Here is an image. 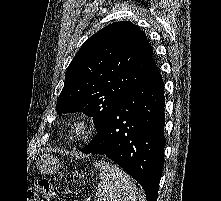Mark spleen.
I'll use <instances>...</instances> for the list:
<instances>
[{
    "instance_id": "1",
    "label": "spleen",
    "mask_w": 221,
    "mask_h": 201,
    "mask_svg": "<svg viewBox=\"0 0 221 201\" xmlns=\"http://www.w3.org/2000/svg\"><path fill=\"white\" fill-rule=\"evenodd\" d=\"M94 166L100 173L95 201L137 200V189L124 170L105 161H96Z\"/></svg>"
}]
</instances>
